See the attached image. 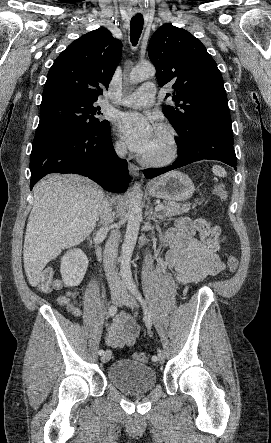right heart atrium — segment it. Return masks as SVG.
<instances>
[{
  "mask_svg": "<svg viewBox=\"0 0 271 443\" xmlns=\"http://www.w3.org/2000/svg\"><path fill=\"white\" fill-rule=\"evenodd\" d=\"M113 146L117 153H124L126 151L125 144L120 139H116L113 143Z\"/></svg>",
  "mask_w": 271,
  "mask_h": 443,
  "instance_id": "right-heart-atrium-1",
  "label": "right heart atrium"
}]
</instances>
